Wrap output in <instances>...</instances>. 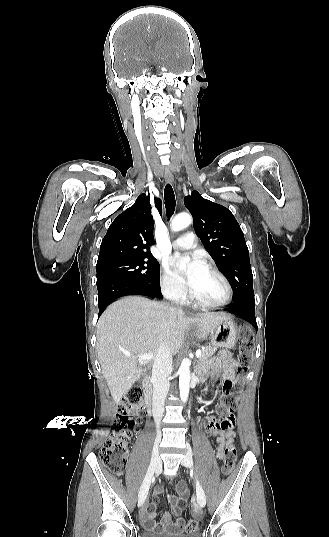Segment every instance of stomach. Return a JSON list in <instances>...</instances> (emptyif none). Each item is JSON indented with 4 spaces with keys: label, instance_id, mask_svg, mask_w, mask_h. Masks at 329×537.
<instances>
[{
    "label": "stomach",
    "instance_id": "0dacf381",
    "mask_svg": "<svg viewBox=\"0 0 329 537\" xmlns=\"http://www.w3.org/2000/svg\"><path fill=\"white\" fill-rule=\"evenodd\" d=\"M239 335V327L231 317L220 322L210 333V339L216 347L232 348Z\"/></svg>",
    "mask_w": 329,
    "mask_h": 537
}]
</instances>
